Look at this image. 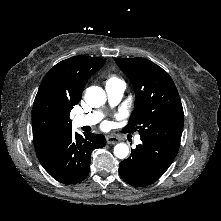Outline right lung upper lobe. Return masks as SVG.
Wrapping results in <instances>:
<instances>
[{"instance_id":"obj_1","label":"right lung upper lobe","mask_w":221,"mask_h":221,"mask_svg":"<svg viewBox=\"0 0 221 221\" xmlns=\"http://www.w3.org/2000/svg\"><path fill=\"white\" fill-rule=\"evenodd\" d=\"M105 59L74 56L53 66L44 77L32 109L33 141L39 152L71 133L70 111Z\"/></svg>"}]
</instances>
